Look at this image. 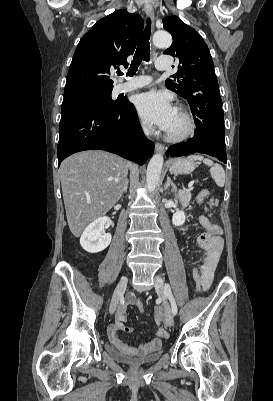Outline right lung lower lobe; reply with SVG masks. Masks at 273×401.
Instances as JSON below:
<instances>
[{"mask_svg": "<svg viewBox=\"0 0 273 401\" xmlns=\"http://www.w3.org/2000/svg\"><path fill=\"white\" fill-rule=\"evenodd\" d=\"M90 149L106 150L139 165L154 151L138 122L135 107L128 100L115 107H78L61 114L58 166L69 155Z\"/></svg>", "mask_w": 273, "mask_h": 401, "instance_id": "right-lung-lower-lobe-1", "label": "right lung lower lobe"}]
</instances>
